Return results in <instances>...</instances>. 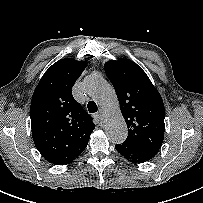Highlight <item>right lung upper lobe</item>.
<instances>
[{
  "label": "right lung upper lobe",
  "instance_id": "right-lung-upper-lobe-1",
  "mask_svg": "<svg viewBox=\"0 0 203 203\" xmlns=\"http://www.w3.org/2000/svg\"><path fill=\"white\" fill-rule=\"evenodd\" d=\"M86 64L70 58L57 61L45 72L33 93L32 137L38 151L50 163L72 162L85 150L95 128L71 90Z\"/></svg>",
  "mask_w": 203,
  "mask_h": 203
}]
</instances>
